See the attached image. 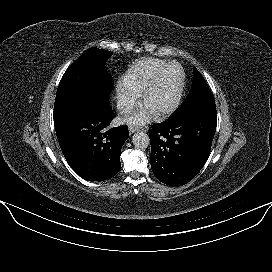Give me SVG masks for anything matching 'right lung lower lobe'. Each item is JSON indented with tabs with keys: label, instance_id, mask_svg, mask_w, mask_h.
Masks as SVG:
<instances>
[{
	"label": "right lung lower lobe",
	"instance_id": "right-lung-lower-lobe-1",
	"mask_svg": "<svg viewBox=\"0 0 272 272\" xmlns=\"http://www.w3.org/2000/svg\"><path fill=\"white\" fill-rule=\"evenodd\" d=\"M111 106L83 103L55 125L62 153L70 167L87 181H104L121 169L120 150L129 137L127 126L108 129Z\"/></svg>",
	"mask_w": 272,
	"mask_h": 272
}]
</instances>
